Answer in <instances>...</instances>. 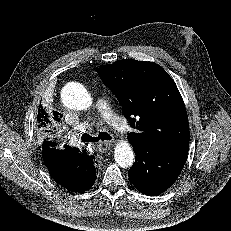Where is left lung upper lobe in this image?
I'll list each match as a JSON object with an SVG mask.
<instances>
[{
	"label": "left lung upper lobe",
	"instance_id": "1",
	"mask_svg": "<svg viewBox=\"0 0 231 231\" xmlns=\"http://www.w3.org/2000/svg\"><path fill=\"white\" fill-rule=\"evenodd\" d=\"M97 72L137 129L127 137L133 147L187 156L190 135L185 105L175 82L161 66L123 59L101 66Z\"/></svg>",
	"mask_w": 231,
	"mask_h": 231
}]
</instances>
